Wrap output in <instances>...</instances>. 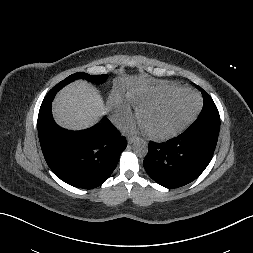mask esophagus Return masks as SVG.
<instances>
[{"label": "esophagus", "instance_id": "34e87169", "mask_svg": "<svg viewBox=\"0 0 253 253\" xmlns=\"http://www.w3.org/2000/svg\"><path fill=\"white\" fill-rule=\"evenodd\" d=\"M136 140H137V137H133V136H129V137L127 138L128 144H132V143H134Z\"/></svg>", "mask_w": 253, "mask_h": 253}]
</instances>
